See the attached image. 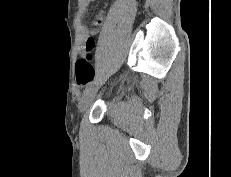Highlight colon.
Masks as SVG:
<instances>
[{
  "label": "colon",
  "mask_w": 231,
  "mask_h": 177,
  "mask_svg": "<svg viewBox=\"0 0 231 177\" xmlns=\"http://www.w3.org/2000/svg\"><path fill=\"white\" fill-rule=\"evenodd\" d=\"M88 47H91L93 44L92 39H89ZM95 70L91 64L89 57H81L76 62V81L79 86H84L88 84L94 77Z\"/></svg>",
  "instance_id": "5ec220e1"
}]
</instances>
